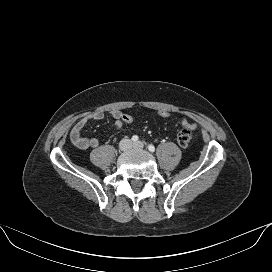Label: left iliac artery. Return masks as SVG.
<instances>
[{
  "instance_id": "obj_1",
  "label": "left iliac artery",
  "mask_w": 272,
  "mask_h": 272,
  "mask_svg": "<svg viewBox=\"0 0 272 272\" xmlns=\"http://www.w3.org/2000/svg\"><path fill=\"white\" fill-rule=\"evenodd\" d=\"M148 149H149V151H151V152H154V151H155V147H154L152 144L148 145Z\"/></svg>"
}]
</instances>
